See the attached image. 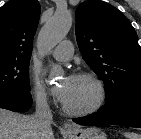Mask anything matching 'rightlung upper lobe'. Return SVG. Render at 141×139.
Masks as SVG:
<instances>
[{
	"label": "right lung upper lobe",
	"mask_w": 141,
	"mask_h": 139,
	"mask_svg": "<svg viewBox=\"0 0 141 139\" xmlns=\"http://www.w3.org/2000/svg\"><path fill=\"white\" fill-rule=\"evenodd\" d=\"M39 17L37 0H11L0 8V58L30 59Z\"/></svg>",
	"instance_id": "obj_1"
}]
</instances>
